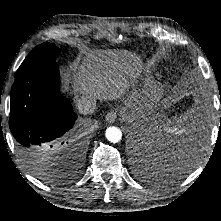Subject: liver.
I'll list each match as a JSON object with an SVG mask.
<instances>
[{
  "label": "liver",
  "mask_w": 221,
  "mask_h": 221,
  "mask_svg": "<svg viewBox=\"0 0 221 221\" xmlns=\"http://www.w3.org/2000/svg\"><path fill=\"white\" fill-rule=\"evenodd\" d=\"M140 66L139 57L127 50L90 51L74 62L68 80L77 94L113 100L121 98L135 82ZM51 160L44 154L35 164L44 169Z\"/></svg>",
  "instance_id": "6515ba94"
}]
</instances>
